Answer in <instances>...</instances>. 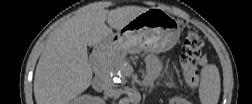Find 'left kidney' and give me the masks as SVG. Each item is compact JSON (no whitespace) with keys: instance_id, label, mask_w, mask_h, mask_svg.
Instances as JSON below:
<instances>
[{"instance_id":"1","label":"left kidney","mask_w":252,"mask_h":104,"mask_svg":"<svg viewBox=\"0 0 252 104\" xmlns=\"http://www.w3.org/2000/svg\"><path fill=\"white\" fill-rule=\"evenodd\" d=\"M173 102H175L176 104H186L187 103V101L181 97L173 98Z\"/></svg>"}]
</instances>
